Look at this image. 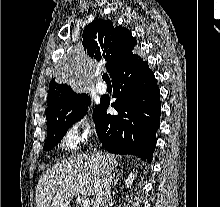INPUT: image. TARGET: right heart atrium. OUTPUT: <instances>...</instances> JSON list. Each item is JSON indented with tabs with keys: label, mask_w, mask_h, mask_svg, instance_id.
Returning a JSON list of instances; mask_svg holds the SVG:
<instances>
[{
	"label": "right heart atrium",
	"mask_w": 220,
	"mask_h": 207,
	"mask_svg": "<svg viewBox=\"0 0 220 207\" xmlns=\"http://www.w3.org/2000/svg\"><path fill=\"white\" fill-rule=\"evenodd\" d=\"M94 129L89 119L81 113L75 114L64 131L62 146L67 150H75L85 144L93 135Z\"/></svg>",
	"instance_id": "1"
}]
</instances>
